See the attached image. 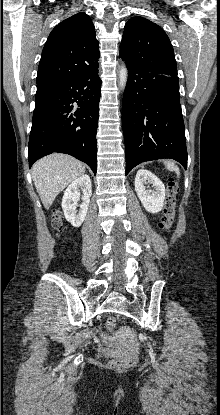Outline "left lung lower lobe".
<instances>
[{
  "instance_id": "1",
  "label": "left lung lower lobe",
  "mask_w": 220,
  "mask_h": 415,
  "mask_svg": "<svg viewBox=\"0 0 220 415\" xmlns=\"http://www.w3.org/2000/svg\"><path fill=\"white\" fill-rule=\"evenodd\" d=\"M122 125L126 175L136 165L170 158L186 169L187 150L177 75L126 63Z\"/></svg>"
}]
</instances>
